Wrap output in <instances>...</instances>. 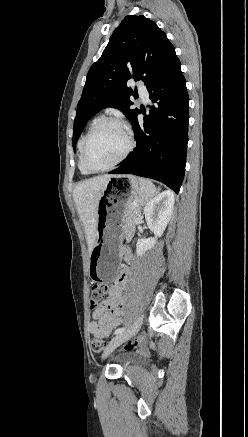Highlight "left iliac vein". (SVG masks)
<instances>
[{
	"instance_id": "4c4485c4",
	"label": "left iliac vein",
	"mask_w": 248,
	"mask_h": 437,
	"mask_svg": "<svg viewBox=\"0 0 248 437\" xmlns=\"http://www.w3.org/2000/svg\"><path fill=\"white\" fill-rule=\"evenodd\" d=\"M143 322V315H140L133 326L125 332L116 335L107 345L102 355L106 358L110 353H112L119 345H121L126 340L133 337L139 330Z\"/></svg>"
}]
</instances>
